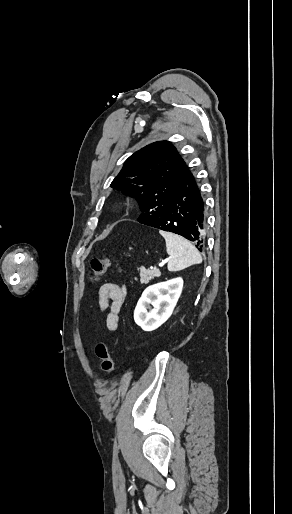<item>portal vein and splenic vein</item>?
I'll use <instances>...</instances> for the list:
<instances>
[{
  "instance_id": "1",
  "label": "portal vein and splenic vein",
  "mask_w": 292,
  "mask_h": 514,
  "mask_svg": "<svg viewBox=\"0 0 292 514\" xmlns=\"http://www.w3.org/2000/svg\"><path fill=\"white\" fill-rule=\"evenodd\" d=\"M166 262H168V260H164V262H161V264H159L160 268H162V266H164V264H166ZM159 272V270H158Z\"/></svg>"
}]
</instances>
